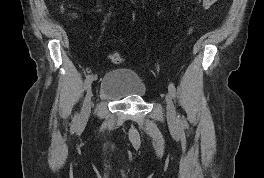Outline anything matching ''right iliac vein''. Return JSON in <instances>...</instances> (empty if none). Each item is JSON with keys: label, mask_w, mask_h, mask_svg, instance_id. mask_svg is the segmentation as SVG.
<instances>
[{"label": "right iliac vein", "mask_w": 264, "mask_h": 178, "mask_svg": "<svg viewBox=\"0 0 264 178\" xmlns=\"http://www.w3.org/2000/svg\"><path fill=\"white\" fill-rule=\"evenodd\" d=\"M92 96H93L92 87L89 86L88 87V91H87V93L85 95V98H84L82 111H81V114H80V117H79V124H81V125L86 123V121H87V119L89 117V114H90V111H91Z\"/></svg>", "instance_id": "1"}]
</instances>
